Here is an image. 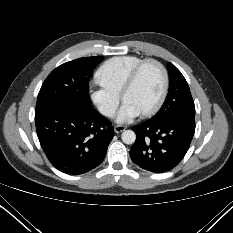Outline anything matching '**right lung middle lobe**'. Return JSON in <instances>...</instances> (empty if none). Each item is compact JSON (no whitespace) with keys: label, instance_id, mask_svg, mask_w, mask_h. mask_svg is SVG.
<instances>
[{"label":"right lung middle lobe","instance_id":"1","mask_svg":"<svg viewBox=\"0 0 233 233\" xmlns=\"http://www.w3.org/2000/svg\"><path fill=\"white\" fill-rule=\"evenodd\" d=\"M102 60L103 57H84L54 69L39 91L35 113L58 105L91 107L89 79Z\"/></svg>","mask_w":233,"mask_h":233}]
</instances>
